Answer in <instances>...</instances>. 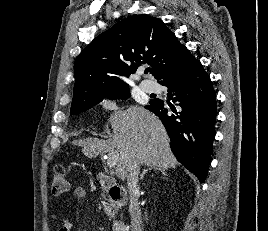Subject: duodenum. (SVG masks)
<instances>
[{"label": "duodenum", "mask_w": 268, "mask_h": 231, "mask_svg": "<svg viewBox=\"0 0 268 231\" xmlns=\"http://www.w3.org/2000/svg\"><path fill=\"white\" fill-rule=\"evenodd\" d=\"M98 181L104 189L109 191V197L114 204L127 203V191L121 185H119L113 177L106 174H99ZM113 231H126L125 222L121 219H117L113 224Z\"/></svg>", "instance_id": "obj_1"}]
</instances>
